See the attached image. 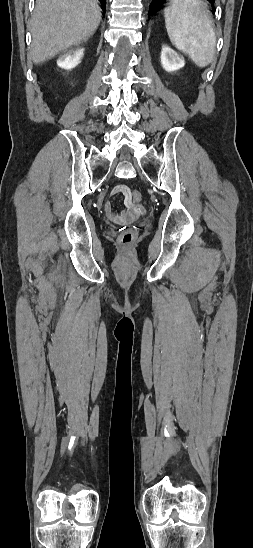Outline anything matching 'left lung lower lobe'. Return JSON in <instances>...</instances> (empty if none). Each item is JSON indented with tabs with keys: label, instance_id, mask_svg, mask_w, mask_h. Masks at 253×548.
Here are the masks:
<instances>
[{
	"label": "left lung lower lobe",
	"instance_id": "0a47b994",
	"mask_svg": "<svg viewBox=\"0 0 253 548\" xmlns=\"http://www.w3.org/2000/svg\"><path fill=\"white\" fill-rule=\"evenodd\" d=\"M165 0H153L150 4V12L155 11L157 8H159V5ZM212 6L214 5L215 0H208Z\"/></svg>",
	"mask_w": 253,
	"mask_h": 548
}]
</instances>
